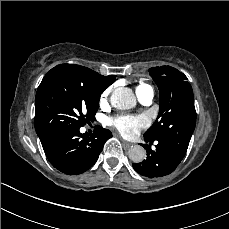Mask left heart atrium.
I'll use <instances>...</instances> for the list:
<instances>
[{"label":"left heart atrium","instance_id":"left-heart-atrium-1","mask_svg":"<svg viewBox=\"0 0 229 229\" xmlns=\"http://www.w3.org/2000/svg\"><path fill=\"white\" fill-rule=\"evenodd\" d=\"M109 124L127 137H133L148 126V121L142 116L120 115L110 119Z\"/></svg>","mask_w":229,"mask_h":229}]
</instances>
